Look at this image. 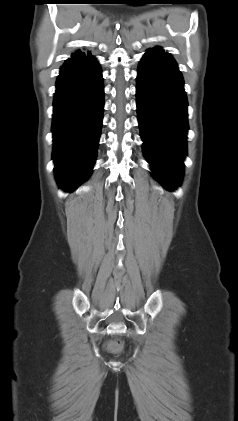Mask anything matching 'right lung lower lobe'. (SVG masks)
I'll return each mask as SVG.
<instances>
[{"label": "right lung lower lobe", "instance_id": "98d812e1", "mask_svg": "<svg viewBox=\"0 0 238 421\" xmlns=\"http://www.w3.org/2000/svg\"><path fill=\"white\" fill-rule=\"evenodd\" d=\"M53 160L60 187L72 192L90 175L103 119L104 88L95 58L75 52L56 82Z\"/></svg>", "mask_w": 238, "mask_h": 421}]
</instances>
